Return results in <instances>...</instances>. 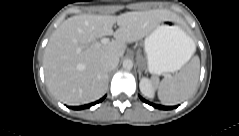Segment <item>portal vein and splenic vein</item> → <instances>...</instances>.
<instances>
[{"label":"portal vein and splenic vein","instance_id":"obj_1","mask_svg":"<svg viewBox=\"0 0 239 136\" xmlns=\"http://www.w3.org/2000/svg\"><path fill=\"white\" fill-rule=\"evenodd\" d=\"M110 42L109 38H102L100 43H97V46H100V45H105V44H108Z\"/></svg>","mask_w":239,"mask_h":136}]
</instances>
